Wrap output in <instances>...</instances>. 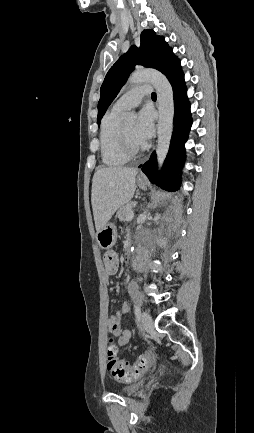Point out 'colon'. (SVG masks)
<instances>
[{"label":"colon","mask_w":254,"mask_h":433,"mask_svg":"<svg viewBox=\"0 0 254 433\" xmlns=\"http://www.w3.org/2000/svg\"><path fill=\"white\" fill-rule=\"evenodd\" d=\"M105 272L114 274L118 266V254L108 250L102 256ZM118 348L112 340L107 347V370L119 382H132L140 378L152 363L150 354H141L137 361L126 362L117 357Z\"/></svg>","instance_id":"5ec220e1"}]
</instances>
